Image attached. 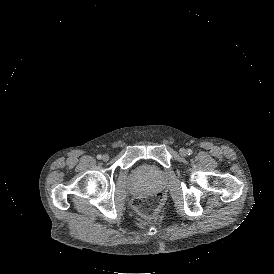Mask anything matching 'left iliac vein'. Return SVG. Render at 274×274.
Instances as JSON below:
<instances>
[{
    "mask_svg": "<svg viewBox=\"0 0 274 274\" xmlns=\"http://www.w3.org/2000/svg\"><path fill=\"white\" fill-rule=\"evenodd\" d=\"M179 152H180V154L182 156H186L187 155V150L185 148H181Z\"/></svg>",
    "mask_w": 274,
    "mask_h": 274,
    "instance_id": "4c4485c4",
    "label": "left iliac vein"
}]
</instances>
